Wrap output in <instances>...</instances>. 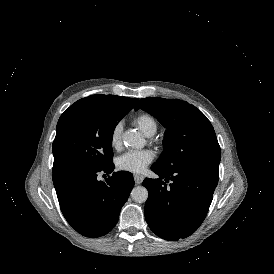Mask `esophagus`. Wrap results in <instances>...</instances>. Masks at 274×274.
<instances>
[{
  "label": "esophagus",
  "instance_id": "1",
  "mask_svg": "<svg viewBox=\"0 0 274 274\" xmlns=\"http://www.w3.org/2000/svg\"><path fill=\"white\" fill-rule=\"evenodd\" d=\"M134 180H135L136 184H141L142 181L144 180V176L143 175L135 174L134 175Z\"/></svg>",
  "mask_w": 274,
  "mask_h": 274
}]
</instances>
